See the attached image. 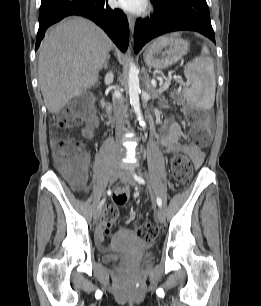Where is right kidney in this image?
<instances>
[{"mask_svg":"<svg viewBox=\"0 0 261 306\" xmlns=\"http://www.w3.org/2000/svg\"><path fill=\"white\" fill-rule=\"evenodd\" d=\"M112 82H113V73L110 72L105 77V83L110 84ZM101 106H102V108L105 106V102L103 100L101 101Z\"/></svg>","mask_w":261,"mask_h":306,"instance_id":"obj_1","label":"right kidney"}]
</instances>
